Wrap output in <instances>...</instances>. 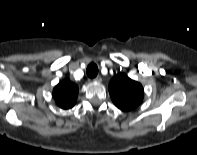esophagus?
<instances>
[{"label": "esophagus", "instance_id": "1", "mask_svg": "<svg viewBox=\"0 0 197 155\" xmlns=\"http://www.w3.org/2000/svg\"><path fill=\"white\" fill-rule=\"evenodd\" d=\"M94 81L100 83V82L102 81L101 76H96V77L94 78Z\"/></svg>", "mask_w": 197, "mask_h": 155}]
</instances>
